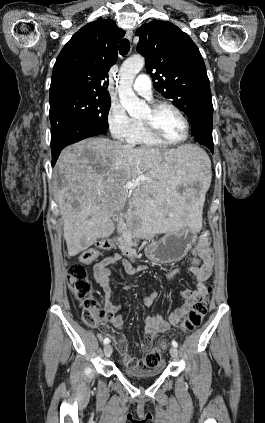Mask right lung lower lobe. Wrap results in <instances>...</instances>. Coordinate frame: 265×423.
Masks as SVG:
<instances>
[{
  "label": "right lung lower lobe",
  "mask_w": 265,
  "mask_h": 423,
  "mask_svg": "<svg viewBox=\"0 0 265 423\" xmlns=\"http://www.w3.org/2000/svg\"><path fill=\"white\" fill-rule=\"evenodd\" d=\"M103 133L105 131L102 128L76 118L64 117L56 120L51 124L52 164H55L65 146Z\"/></svg>",
  "instance_id": "1"
}]
</instances>
